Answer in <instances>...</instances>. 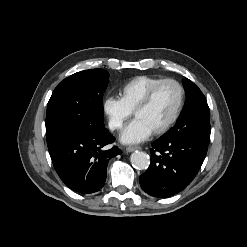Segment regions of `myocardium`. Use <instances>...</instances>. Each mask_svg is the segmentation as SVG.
<instances>
[{
	"mask_svg": "<svg viewBox=\"0 0 247 247\" xmlns=\"http://www.w3.org/2000/svg\"><path fill=\"white\" fill-rule=\"evenodd\" d=\"M165 84H173L177 87L179 92V100L176 109L172 114V116L170 117V119L160 128L153 131L154 135H161L167 132L176 123L177 119L179 118L185 103V89L183 85L179 81L173 78H166L161 80L160 82H158L149 89V91L146 93V95L143 97V99L139 102V104L136 106V108L133 111L134 116H136L138 112L147 108L152 102L157 91Z\"/></svg>",
	"mask_w": 247,
	"mask_h": 247,
	"instance_id": "obj_1",
	"label": "myocardium"
}]
</instances>
